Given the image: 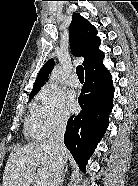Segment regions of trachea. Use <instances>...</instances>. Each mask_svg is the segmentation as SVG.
Segmentation results:
<instances>
[{
  "label": "trachea",
  "instance_id": "1",
  "mask_svg": "<svg viewBox=\"0 0 138 186\" xmlns=\"http://www.w3.org/2000/svg\"><path fill=\"white\" fill-rule=\"evenodd\" d=\"M76 73L80 81H84V69L81 65L77 66Z\"/></svg>",
  "mask_w": 138,
  "mask_h": 186
}]
</instances>
